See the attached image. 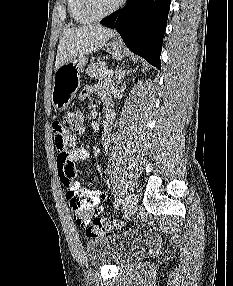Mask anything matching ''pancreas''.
Returning <instances> with one entry per match:
<instances>
[{"label": "pancreas", "mask_w": 233, "mask_h": 286, "mask_svg": "<svg viewBox=\"0 0 233 286\" xmlns=\"http://www.w3.org/2000/svg\"><path fill=\"white\" fill-rule=\"evenodd\" d=\"M105 70H107L106 64L104 62L94 63L86 69V73L88 76L99 79L106 80L110 79L111 76L105 74Z\"/></svg>", "instance_id": "obj_1"}]
</instances>
